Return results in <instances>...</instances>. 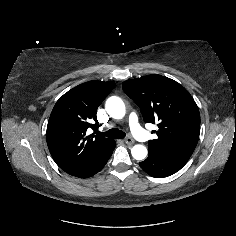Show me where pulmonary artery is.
Returning a JSON list of instances; mask_svg holds the SVG:
<instances>
[{"mask_svg": "<svg viewBox=\"0 0 236 236\" xmlns=\"http://www.w3.org/2000/svg\"><path fill=\"white\" fill-rule=\"evenodd\" d=\"M129 123H130L133 133L140 141L146 142L151 139V135L147 133L146 131H144L142 127L140 126L136 113L134 112L130 113Z\"/></svg>", "mask_w": 236, "mask_h": 236, "instance_id": "pulmonary-artery-1", "label": "pulmonary artery"}]
</instances>
